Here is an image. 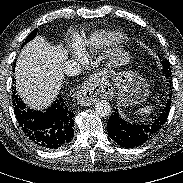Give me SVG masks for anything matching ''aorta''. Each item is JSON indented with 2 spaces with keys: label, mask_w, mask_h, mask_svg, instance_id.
I'll list each match as a JSON object with an SVG mask.
<instances>
[{
  "label": "aorta",
  "mask_w": 183,
  "mask_h": 183,
  "mask_svg": "<svg viewBox=\"0 0 183 183\" xmlns=\"http://www.w3.org/2000/svg\"><path fill=\"white\" fill-rule=\"evenodd\" d=\"M111 110L112 108L110 103L105 100H101L95 105V111L101 117L109 116L111 114Z\"/></svg>",
  "instance_id": "1"
}]
</instances>
